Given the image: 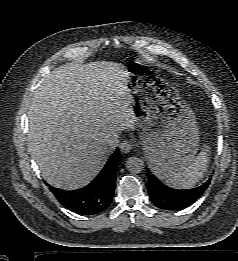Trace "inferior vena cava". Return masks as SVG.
<instances>
[{
    "mask_svg": "<svg viewBox=\"0 0 238 261\" xmlns=\"http://www.w3.org/2000/svg\"><path fill=\"white\" fill-rule=\"evenodd\" d=\"M105 143H106V149L109 152H112L118 146L119 143L118 135L117 134L110 135L109 137L106 138Z\"/></svg>",
    "mask_w": 238,
    "mask_h": 261,
    "instance_id": "obj_1",
    "label": "inferior vena cava"
}]
</instances>
